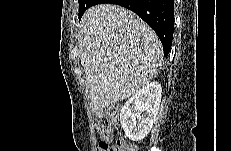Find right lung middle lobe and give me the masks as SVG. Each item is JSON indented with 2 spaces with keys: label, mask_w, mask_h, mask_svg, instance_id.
<instances>
[{
  "label": "right lung middle lobe",
  "mask_w": 231,
  "mask_h": 151,
  "mask_svg": "<svg viewBox=\"0 0 231 151\" xmlns=\"http://www.w3.org/2000/svg\"><path fill=\"white\" fill-rule=\"evenodd\" d=\"M89 0H79V18L82 17L86 9L91 7Z\"/></svg>",
  "instance_id": "1"
}]
</instances>
